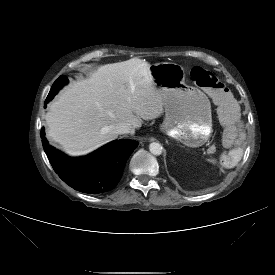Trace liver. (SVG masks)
Masks as SVG:
<instances>
[{"label":"liver","mask_w":275,"mask_h":275,"mask_svg":"<svg viewBox=\"0 0 275 275\" xmlns=\"http://www.w3.org/2000/svg\"><path fill=\"white\" fill-rule=\"evenodd\" d=\"M150 64L139 58L103 65L89 79L74 81L50 104L46 134L70 155H84L116 137L111 127L158 118L163 100Z\"/></svg>","instance_id":"obj_1"}]
</instances>
